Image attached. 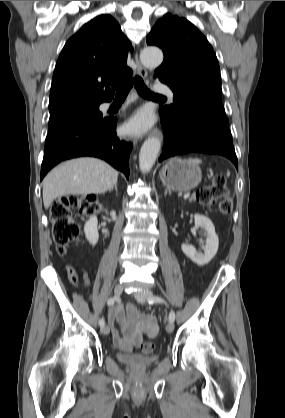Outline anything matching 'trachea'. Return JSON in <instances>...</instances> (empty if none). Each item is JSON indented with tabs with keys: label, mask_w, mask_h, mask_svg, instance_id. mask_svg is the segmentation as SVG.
<instances>
[{
	"label": "trachea",
	"mask_w": 285,
	"mask_h": 418,
	"mask_svg": "<svg viewBox=\"0 0 285 418\" xmlns=\"http://www.w3.org/2000/svg\"><path fill=\"white\" fill-rule=\"evenodd\" d=\"M133 83L138 94L141 96L147 98H163V96L151 92L145 85L143 79L139 76H136L134 80L129 79L123 83L115 84V88L117 89L116 98H126L131 87L133 86Z\"/></svg>",
	"instance_id": "1"
}]
</instances>
